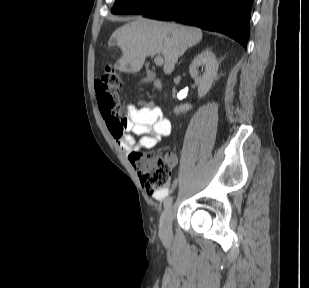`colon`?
Masks as SVG:
<instances>
[{"instance_id":"5ec220e1","label":"colon","mask_w":309,"mask_h":288,"mask_svg":"<svg viewBox=\"0 0 309 288\" xmlns=\"http://www.w3.org/2000/svg\"><path fill=\"white\" fill-rule=\"evenodd\" d=\"M122 86L119 75L111 69H105L95 81L94 88L98 96L99 107L105 119L125 122L137 108L128 103L121 104L118 94ZM131 161L136 166L143 188L150 194L167 190L172 182V164L156 152L133 153Z\"/></svg>"}]
</instances>
